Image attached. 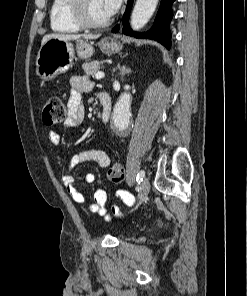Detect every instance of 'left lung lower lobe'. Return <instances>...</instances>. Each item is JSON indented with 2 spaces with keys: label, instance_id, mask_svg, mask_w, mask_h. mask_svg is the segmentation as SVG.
Masks as SVG:
<instances>
[{
  "label": "left lung lower lobe",
  "instance_id": "obj_1",
  "mask_svg": "<svg viewBox=\"0 0 247 296\" xmlns=\"http://www.w3.org/2000/svg\"><path fill=\"white\" fill-rule=\"evenodd\" d=\"M175 0H161L160 7L157 13V16L155 18L153 27L145 33H137L130 29L128 19L129 14L132 5L130 4L131 0L128 1V7L125 12V16L123 18V29L122 32L126 35L135 36L136 38H147V39H153L164 46H166L168 49H170L171 46V33H170V22L173 17L172 12V4ZM133 2V0H132ZM119 31V25L115 26L112 29V32H118Z\"/></svg>",
  "mask_w": 247,
  "mask_h": 296
}]
</instances>
